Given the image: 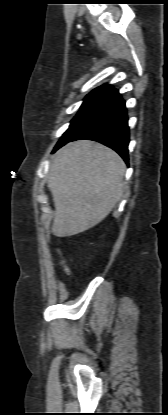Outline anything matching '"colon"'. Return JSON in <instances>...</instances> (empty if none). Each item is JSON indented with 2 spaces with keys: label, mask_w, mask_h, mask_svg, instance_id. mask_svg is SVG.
<instances>
[{
  "label": "colon",
  "mask_w": 168,
  "mask_h": 415,
  "mask_svg": "<svg viewBox=\"0 0 168 415\" xmlns=\"http://www.w3.org/2000/svg\"><path fill=\"white\" fill-rule=\"evenodd\" d=\"M61 267H62V269H63V271H64L65 273H67V272H68V268H67L66 263H65V261H64V260H62V261H61Z\"/></svg>",
  "instance_id": "colon-1"
}]
</instances>
